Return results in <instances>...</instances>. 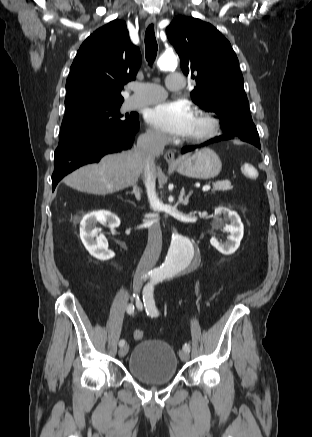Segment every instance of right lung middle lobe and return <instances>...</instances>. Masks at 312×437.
<instances>
[{"label": "right lung middle lobe", "mask_w": 312, "mask_h": 437, "mask_svg": "<svg viewBox=\"0 0 312 437\" xmlns=\"http://www.w3.org/2000/svg\"><path fill=\"white\" fill-rule=\"evenodd\" d=\"M121 104L87 103L66 107L59 144H66L92 133L131 124L138 116L134 113L120 114Z\"/></svg>", "instance_id": "1"}]
</instances>
